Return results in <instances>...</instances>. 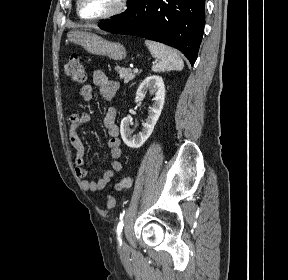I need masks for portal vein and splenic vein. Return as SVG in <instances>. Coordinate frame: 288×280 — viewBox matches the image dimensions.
Here are the masks:
<instances>
[{
	"instance_id": "portal-vein-and-splenic-vein-1",
	"label": "portal vein and splenic vein",
	"mask_w": 288,
	"mask_h": 280,
	"mask_svg": "<svg viewBox=\"0 0 288 280\" xmlns=\"http://www.w3.org/2000/svg\"><path fill=\"white\" fill-rule=\"evenodd\" d=\"M133 72H134V73H137V72H139V69H138V68H134V69H133Z\"/></svg>"
}]
</instances>
